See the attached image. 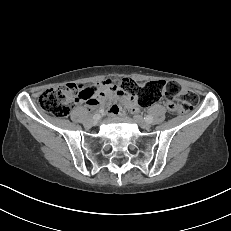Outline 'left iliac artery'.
Returning <instances> with one entry per match:
<instances>
[{
	"mask_svg": "<svg viewBox=\"0 0 231 231\" xmlns=\"http://www.w3.org/2000/svg\"><path fill=\"white\" fill-rule=\"evenodd\" d=\"M144 119L149 123H151L153 120V118L150 115L145 116Z\"/></svg>",
	"mask_w": 231,
	"mask_h": 231,
	"instance_id": "obj_1",
	"label": "left iliac artery"
}]
</instances>
